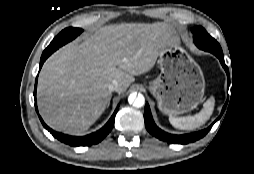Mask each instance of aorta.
Returning a JSON list of instances; mask_svg holds the SVG:
<instances>
[{
  "label": "aorta",
  "mask_w": 254,
  "mask_h": 174,
  "mask_svg": "<svg viewBox=\"0 0 254 174\" xmlns=\"http://www.w3.org/2000/svg\"><path fill=\"white\" fill-rule=\"evenodd\" d=\"M128 101L130 104H133L134 107H142L145 103V98L142 94H136V93H132L129 98Z\"/></svg>",
  "instance_id": "obj_1"
}]
</instances>
